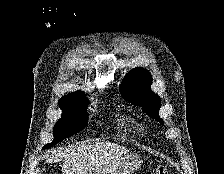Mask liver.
<instances>
[{"label":"liver","instance_id":"liver-1","mask_svg":"<svg viewBox=\"0 0 224 174\" xmlns=\"http://www.w3.org/2000/svg\"><path fill=\"white\" fill-rule=\"evenodd\" d=\"M127 152L128 149L125 147L106 141L55 151L48 157L46 163L52 164L63 160L62 174H90L123 159Z\"/></svg>","mask_w":224,"mask_h":174}]
</instances>
